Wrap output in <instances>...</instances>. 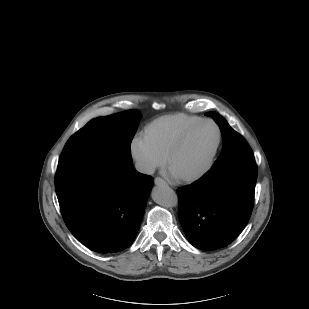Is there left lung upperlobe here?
Returning a JSON list of instances; mask_svg holds the SVG:
<instances>
[{
  "mask_svg": "<svg viewBox=\"0 0 309 309\" xmlns=\"http://www.w3.org/2000/svg\"><path fill=\"white\" fill-rule=\"evenodd\" d=\"M206 115L212 117L218 124L223 138L222 151L212 166L211 170L219 167L220 165L233 158L252 153V150L244 138L235 132L221 115H219L217 112H208Z\"/></svg>",
  "mask_w": 309,
  "mask_h": 309,
  "instance_id": "1",
  "label": "left lung upper lobe"
}]
</instances>
